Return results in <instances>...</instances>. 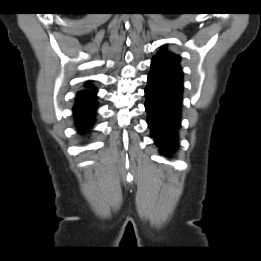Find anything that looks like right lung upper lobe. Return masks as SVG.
I'll return each instance as SVG.
<instances>
[{
	"label": "right lung upper lobe",
	"mask_w": 261,
	"mask_h": 261,
	"mask_svg": "<svg viewBox=\"0 0 261 261\" xmlns=\"http://www.w3.org/2000/svg\"><path fill=\"white\" fill-rule=\"evenodd\" d=\"M91 86L90 84H87V87Z\"/></svg>",
	"instance_id": "right-lung-upper-lobe-1"
}]
</instances>
